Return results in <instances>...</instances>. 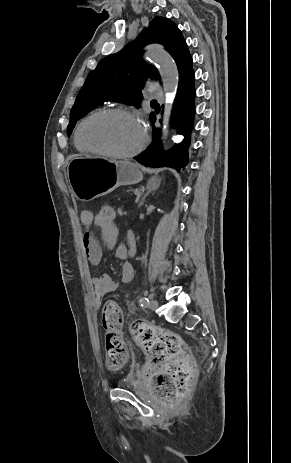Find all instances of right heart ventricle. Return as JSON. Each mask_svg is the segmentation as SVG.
<instances>
[{
  "mask_svg": "<svg viewBox=\"0 0 291 463\" xmlns=\"http://www.w3.org/2000/svg\"><path fill=\"white\" fill-rule=\"evenodd\" d=\"M75 144H76V147H77L80 151H84V149H82V148L78 145V143H77V141H76V138H75Z\"/></svg>",
  "mask_w": 291,
  "mask_h": 463,
  "instance_id": "1",
  "label": "right heart ventricle"
}]
</instances>
